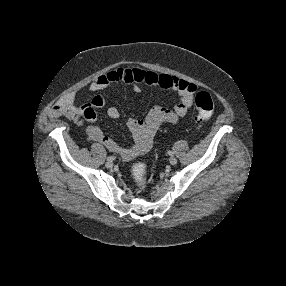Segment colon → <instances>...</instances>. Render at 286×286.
<instances>
[{
  "label": "colon",
  "instance_id": "obj_1",
  "mask_svg": "<svg viewBox=\"0 0 286 286\" xmlns=\"http://www.w3.org/2000/svg\"><path fill=\"white\" fill-rule=\"evenodd\" d=\"M195 105L198 111V122L203 123L208 120L213 113V101L207 92H199L195 98ZM145 164L143 162L136 163L132 168V174L139 187L143 188L146 184L144 174Z\"/></svg>",
  "mask_w": 286,
  "mask_h": 286
}]
</instances>
